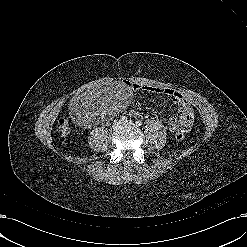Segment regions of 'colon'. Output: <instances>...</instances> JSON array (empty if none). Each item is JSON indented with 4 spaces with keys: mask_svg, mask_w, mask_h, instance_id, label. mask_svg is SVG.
<instances>
[{
    "mask_svg": "<svg viewBox=\"0 0 247 247\" xmlns=\"http://www.w3.org/2000/svg\"><path fill=\"white\" fill-rule=\"evenodd\" d=\"M56 129H57V132L62 136L69 134L70 124H69L68 119L63 118V117L59 118L57 123H56ZM185 133H186V130H183V129L176 130V132H175L176 139L177 140L183 139L185 136Z\"/></svg>",
    "mask_w": 247,
    "mask_h": 247,
    "instance_id": "colon-1",
    "label": "colon"
}]
</instances>
